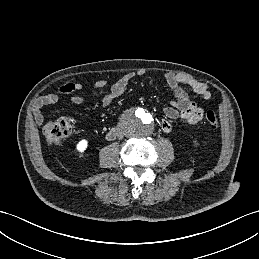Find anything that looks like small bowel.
<instances>
[{
  "label": "small bowel",
  "instance_id": "c3829d8e",
  "mask_svg": "<svg viewBox=\"0 0 259 259\" xmlns=\"http://www.w3.org/2000/svg\"><path fill=\"white\" fill-rule=\"evenodd\" d=\"M145 70L141 69L137 73L129 72L115 81L109 91L103 95V105H109L115 98L121 96L129 83L136 75H144ZM162 77L166 80L168 86L172 90L174 99L171 105L164 109L165 118L161 121L160 127L163 132L169 133L172 130L173 120H180L184 123L194 125L203 118L204 111L195 102H193L185 87L189 88L193 93L199 95L204 100L211 98V92L206 83L194 79L185 73L163 72ZM108 85L107 80H99L95 83V88L100 89ZM82 89V84L77 82L66 83L62 85L56 92L39 97L33 106V116L38 124L43 122L41 109L45 106L56 104L62 96L68 97L73 103L81 104L84 98L75 94Z\"/></svg>",
  "mask_w": 259,
  "mask_h": 259
}]
</instances>
